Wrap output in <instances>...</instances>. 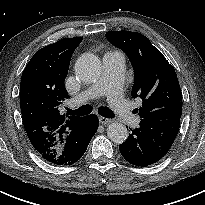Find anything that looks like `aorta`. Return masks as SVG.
<instances>
[{
    "mask_svg": "<svg viewBox=\"0 0 205 205\" xmlns=\"http://www.w3.org/2000/svg\"><path fill=\"white\" fill-rule=\"evenodd\" d=\"M101 62L96 55L84 54L75 63L76 76L85 83H94L101 76ZM107 135L111 141L120 144L128 137L127 128L121 123H111L107 128Z\"/></svg>",
    "mask_w": 205,
    "mask_h": 205,
    "instance_id": "aorta-1",
    "label": "aorta"
}]
</instances>
